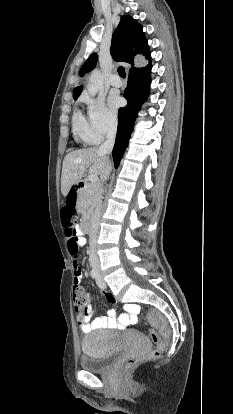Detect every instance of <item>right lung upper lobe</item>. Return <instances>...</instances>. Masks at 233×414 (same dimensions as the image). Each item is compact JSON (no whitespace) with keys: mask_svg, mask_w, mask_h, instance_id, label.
Wrapping results in <instances>:
<instances>
[{"mask_svg":"<svg viewBox=\"0 0 233 414\" xmlns=\"http://www.w3.org/2000/svg\"><path fill=\"white\" fill-rule=\"evenodd\" d=\"M110 53L116 61L129 63L130 74L140 72L151 66V55L148 42L140 24L128 15L121 17L120 23L113 33ZM148 60L149 64L144 65L143 61ZM97 62V54H92L83 64L80 76L93 70ZM82 91V86L73 90V97L76 100Z\"/></svg>","mask_w":233,"mask_h":414,"instance_id":"1","label":"right lung upper lobe"}]
</instances>
